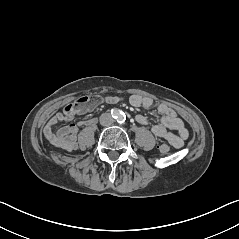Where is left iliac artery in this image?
<instances>
[{
    "mask_svg": "<svg viewBox=\"0 0 239 239\" xmlns=\"http://www.w3.org/2000/svg\"><path fill=\"white\" fill-rule=\"evenodd\" d=\"M120 121H121V123L125 121V116H124V114H122V115L120 116Z\"/></svg>",
    "mask_w": 239,
    "mask_h": 239,
    "instance_id": "left-iliac-artery-1",
    "label": "left iliac artery"
}]
</instances>
